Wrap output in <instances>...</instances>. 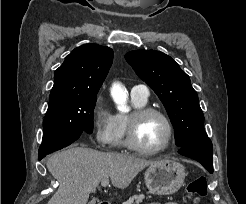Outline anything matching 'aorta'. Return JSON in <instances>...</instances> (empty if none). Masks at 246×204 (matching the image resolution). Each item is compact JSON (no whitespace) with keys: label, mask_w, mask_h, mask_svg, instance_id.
<instances>
[{"label":"aorta","mask_w":246,"mask_h":204,"mask_svg":"<svg viewBox=\"0 0 246 204\" xmlns=\"http://www.w3.org/2000/svg\"><path fill=\"white\" fill-rule=\"evenodd\" d=\"M117 109L120 112H129L130 108L127 106L128 93L120 84H115L111 91Z\"/></svg>","instance_id":"obj_1"}]
</instances>
